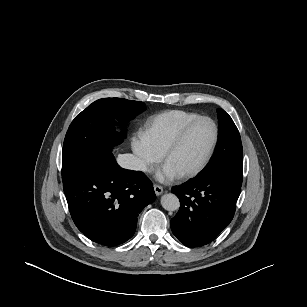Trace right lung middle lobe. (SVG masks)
Listing matches in <instances>:
<instances>
[{
  "mask_svg": "<svg viewBox=\"0 0 307 307\" xmlns=\"http://www.w3.org/2000/svg\"><path fill=\"white\" fill-rule=\"evenodd\" d=\"M145 109L143 102L103 98L76 116L66 133L62 154V180L78 176L114 145L123 142L125 130L115 131L114 119L127 122Z\"/></svg>",
  "mask_w": 307,
  "mask_h": 307,
  "instance_id": "right-lung-middle-lobe-1",
  "label": "right lung middle lobe"
}]
</instances>
